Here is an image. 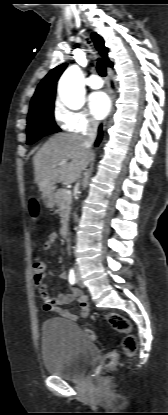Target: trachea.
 I'll use <instances>...</instances> for the list:
<instances>
[{
    "mask_svg": "<svg viewBox=\"0 0 168 415\" xmlns=\"http://www.w3.org/2000/svg\"><path fill=\"white\" fill-rule=\"evenodd\" d=\"M97 71L99 73L100 76L105 77L106 76V66L104 64V62L101 59H98L97 62Z\"/></svg>",
    "mask_w": 168,
    "mask_h": 415,
    "instance_id": "1",
    "label": "trachea"
}]
</instances>
